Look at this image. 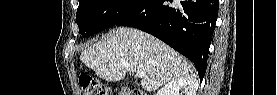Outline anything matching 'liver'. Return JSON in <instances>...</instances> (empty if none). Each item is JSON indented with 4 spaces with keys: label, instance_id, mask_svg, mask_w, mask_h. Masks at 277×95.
<instances>
[{
    "label": "liver",
    "instance_id": "6515ba94",
    "mask_svg": "<svg viewBox=\"0 0 277 95\" xmlns=\"http://www.w3.org/2000/svg\"><path fill=\"white\" fill-rule=\"evenodd\" d=\"M80 60L106 81H120L126 73L140 71L141 86L155 91L168 82L191 77L193 66L187 59L154 36L134 28H116L83 50Z\"/></svg>",
    "mask_w": 277,
    "mask_h": 95
}]
</instances>
